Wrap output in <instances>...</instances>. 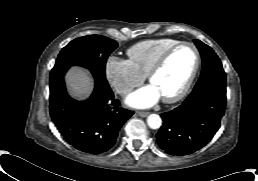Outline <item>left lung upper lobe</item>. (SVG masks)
<instances>
[{"label": "left lung upper lobe", "mask_w": 258, "mask_h": 181, "mask_svg": "<svg viewBox=\"0 0 258 181\" xmlns=\"http://www.w3.org/2000/svg\"><path fill=\"white\" fill-rule=\"evenodd\" d=\"M202 56V73L194 89L212 81L226 82V74L215 52L200 40H194Z\"/></svg>", "instance_id": "left-lung-upper-lobe-1"}]
</instances>
